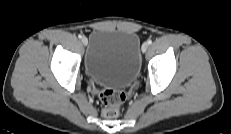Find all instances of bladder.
Wrapping results in <instances>:
<instances>
[{
  "label": "bladder",
  "instance_id": "1",
  "mask_svg": "<svg viewBox=\"0 0 231 134\" xmlns=\"http://www.w3.org/2000/svg\"><path fill=\"white\" fill-rule=\"evenodd\" d=\"M84 57L86 75L110 88L129 87L141 69L140 38L132 31L96 29Z\"/></svg>",
  "mask_w": 231,
  "mask_h": 134
}]
</instances>
